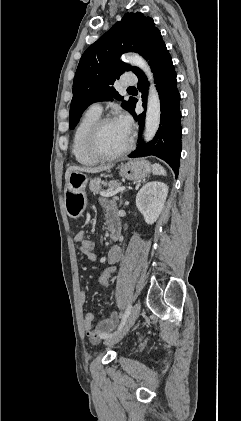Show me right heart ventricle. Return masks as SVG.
<instances>
[{"instance_id":"e07e8e85","label":"right heart ventricle","mask_w":241,"mask_h":421,"mask_svg":"<svg viewBox=\"0 0 241 421\" xmlns=\"http://www.w3.org/2000/svg\"><path fill=\"white\" fill-rule=\"evenodd\" d=\"M100 118V113L88 109L79 120L72 138L71 151L75 160L85 166L95 165L99 162L87 150V135L92 125Z\"/></svg>"}]
</instances>
